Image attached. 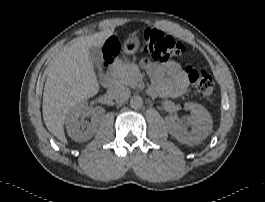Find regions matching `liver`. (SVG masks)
Instances as JSON below:
<instances>
[{"label": "liver", "mask_w": 265, "mask_h": 202, "mask_svg": "<svg viewBox=\"0 0 265 202\" xmlns=\"http://www.w3.org/2000/svg\"><path fill=\"white\" fill-rule=\"evenodd\" d=\"M113 32L114 29H108L78 38L49 65L43 93V120L47 129L64 144L67 113L77 103L96 95L100 88L88 50L92 46L101 47Z\"/></svg>", "instance_id": "liver-1"}]
</instances>
